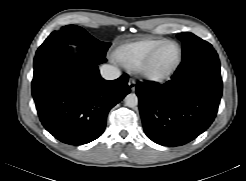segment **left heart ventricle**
Listing matches in <instances>:
<instances>
[{
    "label": "left heart ventricle",
    "instance_id": "left-heart-ventricle-1",
    "mask_svg": "<svg viewBox=\"0 0 246 181\" xmlns=\"http://www.w3.org/2000/svg\"><path fill=\"white\" fill-rule=\"evenodd\" d=\"M177 57L176 46H169L160 54L157 61L154 64L155 71H166L175 61Z\"/></svg>",
    "mask_w": 246,
    "mask_h": 181
}]
</instances>
